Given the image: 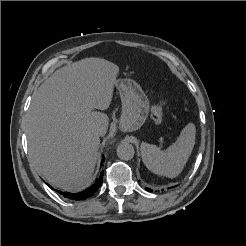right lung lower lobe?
I'll return each mask as SVG.
<instances>
[{
	"label": "right lung lower lobe",
	"mask_w": 246,
	"mask_h": 246,
	"mask_svg": "<svg viewBox=\"0 0 246 246\" xmlns=\"http://www.w3.org/2000/svg\"><path fill=\"white\" fill-rule=\"evenodd\" d=\"M103 161H104V158L102 159V162ZM102 180H103V173H101L100 177L96 180V182L93 185H91L90 187H88L87 189L79 193L62 192L59 190H56V191L60 193L66 199L75 200V201L85 200L91 197L92 195H94V193L101 187ZM48 186L51 187L50 185ZM51 189L53 188L51 187Z\"/></svg>",
	"instance_id": "obj_1"
}]
</instances>
